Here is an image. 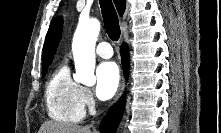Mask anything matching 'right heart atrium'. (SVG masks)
Listing matches in <instances>:
<instances>
[{"label":"right heart atrium","instance_id":"right-heart-atrium-1","mask_svg":"<svg viewBox=\"0 0 221 133\" xmlns=\"http://www.w3.org/2000/svg\"><path fill=\"white\" fill-rule=\"evenodd\" d=\"M81 100H82L83 106L86 109H88L89 111H91L95 108L96 101H95L93 94L89 88L82 87Z\"/></svg>","mask_w":221,"mask_h":133}]
</instances>
